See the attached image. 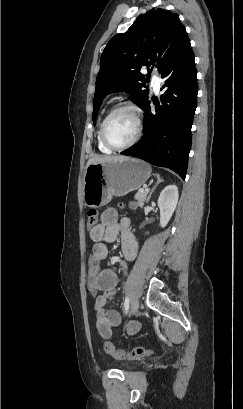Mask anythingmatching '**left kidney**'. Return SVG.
Returning a JSON list of instances; mask_svg holds the SVG:
<instances>
[{
  "mask_svg": "<svg viewBox=\"0 0 243 409\" xmlns=\"http://www.w3.org/2000/svg\"><path fill=\"white\" fill-rule=\"evenodd\" d=\"M178 188L175 185L166 186L158 198L160 209V226L165 227L171 219L178 202Z\"/></svg>",
  "mask_w": 243,
  "mask_h": 409,
  "instance_id": "1",
  "label": "left kidney"
}]
</instances>
